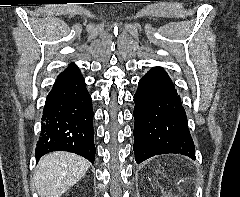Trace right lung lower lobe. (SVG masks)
Returning <instances> with one entry per match:
<instances>
[{
	"instance_id": "obj_1",
	"label": "right lung lower lobe",
	"mask_w": 240,
	"mask_h": 197,
	"mask_svg": "<svg viewBox=\"0 0 240 197\" xmlns=\"http://www.w3.org/2000/svg\"><path fill=\"white\" fill-rule=\"evenodd\" d=\"M93 108L85 80L76 65L60 73L48 94L36 146V160L52 151H68L94 164Z\"/></svg>"
}]
</instances>
